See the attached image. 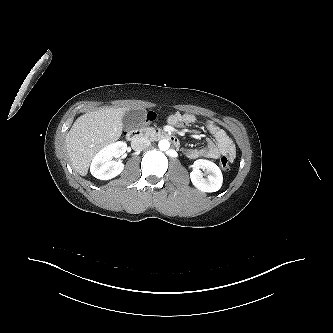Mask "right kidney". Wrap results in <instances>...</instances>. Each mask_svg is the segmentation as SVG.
<instances>
[{"label": "right kidney", "mask_w": 333, "mask_h": 333, "mask_svg": "<svg viewBox=\"0 0 333 333\" xmlns=\"http://www.w3.org/2000/svg\"><path fill=\"white\" fill-rule=\"evenodd\" d=\"M126 149L127 144L123 141L112 143L101 149L91 162V174L100 180H109L118 176L123 171L124 164L112 159L123 154Z\"/></svg>", "instance_id": "ca27d5eb"}]
</instances>
